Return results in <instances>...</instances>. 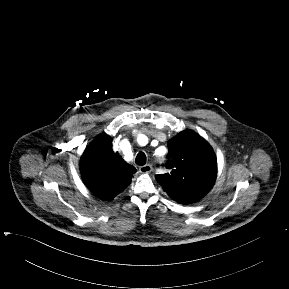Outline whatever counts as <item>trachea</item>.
Wrapping results in <instances>:
<instances>
[{
  "label": "trachea",
  "instance_id": "obj_1",
  "mask_svg": "<svg viewBox=\"0 0 289 289\" xmlns=\"http://www.w3.org/2000/svg\"><path fill=\"white\" fill-rule=\"evenodd\" d=\"M136 164L143 166L146 164V155L143 152H139L136 156Z\"/></svg>",
  "mask_w": 289,
  "mask_h": 289
}]
</instances>
